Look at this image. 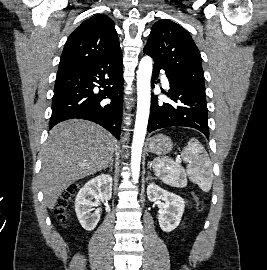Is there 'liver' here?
Masks as SVG:
<instances>
[{"mask_svg": "<svg viewBox=\"0 0 267 270\" xmlns=\"http://www.w3.org/2000/svg\"><path fill=\"white\" fill-rule=\"evenodd\" d=\"M116 147V139L92 122L71 119L56 125L42 151L45 205L53 209L70 185L107 167Z\"/></svg>", "mask_w": 267, "mask_h": 270, "instance_id": "6515ba94", "label": "liver"}]
</instances>
